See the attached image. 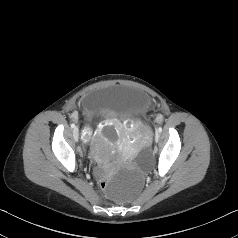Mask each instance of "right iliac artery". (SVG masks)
Wrapping results in <instances>:
<instances>
[{"label":"right iliac artery","instance_id":"1","mask_svg":"<svg viewBox=\"0 0 238 238\" xmlns=\"http://www.w3.org/2000/svg\"><path fill=\"white\" fill-rule=\"evenodd\" d=\"M74 127H75V124H74V123H72V124H71V128H74Z\"/></svg>","mask_w":238,"mask_h":238}]
</instances>
